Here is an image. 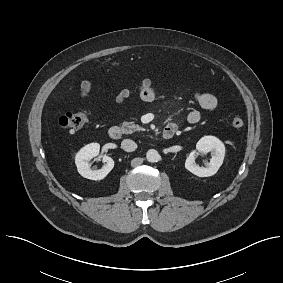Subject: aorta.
I'll use <instances>...</instances> for the list:
<instances>
[{
    "mask_svg": "<svg viewBox=\"0 0 283 283\" xmlns=\"http://www.w3.org/2000/svg\"><path fill=\"white\" fill-rule=\"evenodd\" d=\"M146 158L149 162L154 163L159 161L160 155L155 149H150L146 153Z\"/></svg>",
    "mask_w": 283,
    "mask_h": 283,
    "instance_id": "762f6f07",
    "label": "aorta"
}]
</instances>
